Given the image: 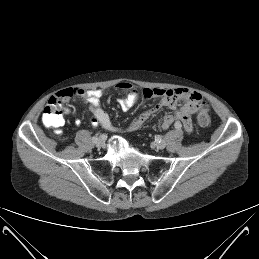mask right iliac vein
<instances>
[{"instance_id":"right-iliac-vein-1","label":"right iliac vein","mask_w":259,"mask_h":259,"mask_svg":"<svg viewBox=\"0 0 259 259\" xmlns=\"http://www.w3.org/2000/svg\"><path fill=\"white\" fill-rule=\"evenodd\" d=\"M94 143L97 147H103L104 146V141L100 138H98V141L94 142Z\"/></svg>"}]
</instances>
